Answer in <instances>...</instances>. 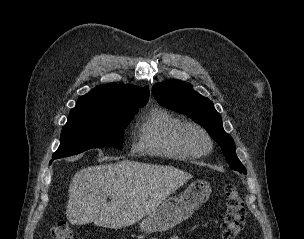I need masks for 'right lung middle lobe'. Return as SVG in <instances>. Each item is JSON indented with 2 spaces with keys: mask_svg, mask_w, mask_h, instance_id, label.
Segmentation results:
<instances>
[{
  "mask_svg": "<svg viewBox=\"0 0 304 239\" xmlns=\"http://www.w3.org/2000/svg\"><path fill=\"white\" fill-rule=\"evenodd\" d=\"M137 111V107H127L119 112L70 114L52 159L98 147L122 149L123 131Z\"/></svg>",
  "mask_w": 304,
  "mask_h": 239,
  "instance_id": "dd1d6c3e",
  "label": "right lung middle lobe"
}]
</instances>
